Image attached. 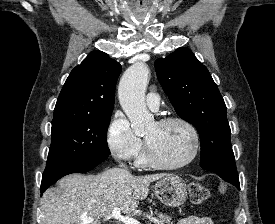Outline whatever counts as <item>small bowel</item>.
I'll return each instance as SVG.
<instances>
[{
	"label": "small bowel",
	"mask_w": 275,
	"mask_h": 224,
	"mask_svg": "<svg viewBox=\"0 0 275 224\" xmlns=\"http://www.w3.org/2000/svg\"><path fill=\"white\" fill-rule=\"evenodd\" d=\"M177 224H213L209 217L188 216L181 218Z\"/></svg>",
	"instance_id": "small-bowel-1"
}]
</instances>
